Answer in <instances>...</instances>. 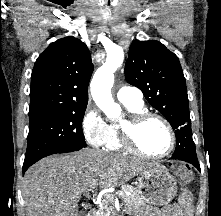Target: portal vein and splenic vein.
Segmentation results:
<instances>
[{
	"label": "portal vein and splenic vein",
	"instance_id": "18ae733b",
	"mask_svg": "<svg viewBox=\"0 0 221 216\" xmlns=\"http://www.w3.org/2000/svg\"><path fill=\"white\" fill-rule=\"evenodd\" d=\"M93 186L95 185V183L94 184H92ZM128 194L130 195V193L128 192ZM119 195H120V193H119Z\"/></svg>",
	"mask_w": 221,
	"mask_h": 216
}]
</instances>
